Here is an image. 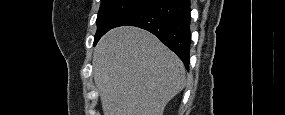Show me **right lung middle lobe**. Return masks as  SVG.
I'll return each instance as SVG.
<instances>
[{
	"label": "right lung middle lobe",
	"mask_w": 285,
	"mask_h": 115,
	"mask_svg": "<svg viewBox=\"0 0 285 115\" xmlns=\"http://www.w3.org/2000/svg\"><path fill=\"white\" fill-rule=\"evenodd\" d=\"M151 0H101V6L97 16V32L94 37V45L122 18L139 9Z\"/></svg>",
	"instance_id": "obj_1"
}]
</instances>
